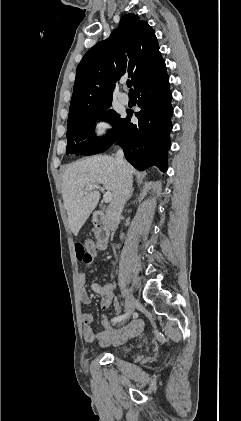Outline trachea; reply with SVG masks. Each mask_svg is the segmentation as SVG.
Returning <instances> with one entry per match:
<instances>
[{
  "mask_svg": "<svg viewBox=\"0 0 241 421\" xmlns=\"http://www.w3.org/2000/svg\"><path fill=\"white\" fill-rule=\"evenodd\" d=\"M127 86L130 88V90H129V91H130V92H133V90H132V88H131V87H132V82H131L130 80H128V81H127Z\"/></svg>",
  "mask_w": 241,
  "mask_h": 421,
  "instance_id": "3493384b",
  "label": "trachea"
}]
</instances>
